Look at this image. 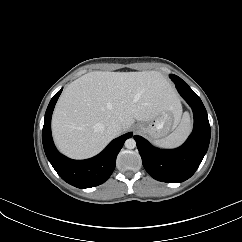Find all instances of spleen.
Here are the masks:
<instances>
[{"instance_id": "spleen-1", "label": "spleen", "mask_w": 242, "mask_h": 242, "mask_svg": "<svg viewBox=\"0 0 242 242\" xmlns=\"http://www.w3.org/2000/svg\"><path fill=\"white\" fill-rule=\"evenodd\" d=\"M191 131V122L188 116H184L177 128L167 137L159 139L155 144L159 147L172 148L179 146L187 138Z\"/></svg>"}]
</instances>
